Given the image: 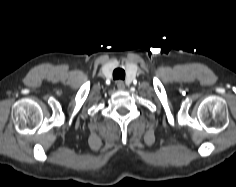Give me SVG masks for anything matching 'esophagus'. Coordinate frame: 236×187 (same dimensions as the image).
<instances>
[{
  "instance_id": "esophagus-1",
  "label": "esophagus",
  "mask_w": 236,
  "mask_h": 187,
  "mask_svg": "<svg viewBox=\"0 0 236 187\" xmlns=\"http://www.w3.org/2000/svg\"><path fill=\"white\" fill-rule=\"evenodd\" d=\"M116 85H117V88L119 90H124L125 89V84H124V82L122 80L116 81Z\"/></svg>"
}]
</instances>
